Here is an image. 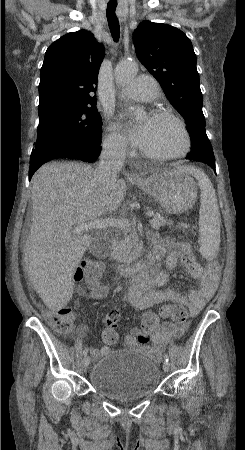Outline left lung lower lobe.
I'll return each mask as SVG.
<instances>
[{
  "label": "left lung lower lobe",
  "mask_w": 245,
  "mask_h": 450,
  "mask_svg": "<svg viewBox=\"0 0 245 450\" xmlns=\"http://www.w3.org/2000/svg\"><path fill=\"white\" fill-rule=\"evenodd\" d=\"M199 150L200 153L198 155H188L186 159L206 163L211 166L213 170H215V157L213 150L210 147L199 148Z\"/></svg>",
  "instance_id": "0a47b994"
}]
</instances>
